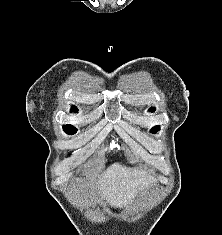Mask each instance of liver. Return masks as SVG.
Instances as JSON below:
<instances>
[{"instance_id":"6515ba94","label":"liver","mask_w":222,"mask_h":235,"mask_svg":"<svg viewBox=\"0 0 222 235\" xmlns=\"http://www.w3.org/2000/svg\"><path fill=\"white\" fill-rule=\"evenodd\" d=\"M154 178L143 169H126L118 163L112 164L99 180V194L113 207L125 206L132 201L137 190L151 183Z\"/></svg>"}]
</instances>
